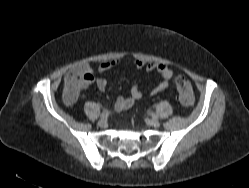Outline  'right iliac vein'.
Listing matches in <instances>:
<instances>
[{
  "label": "right iliac vein",
  "mask_w": 249,
  "mask_h": 188,
  "mask_svg": "<svg viewBox=\"0 0 249 188\" xmlns=\"http://www.w3.org/2000/svg\"><path fill=\"white\" fill-rule=\"evenodd\" d=\"M98 125L100 127H105L107 126V119L106 118H101L99 121H98Z\"/></svg>",
  "instance_id": "right-iliac-vein-1"
}]
</instances>
